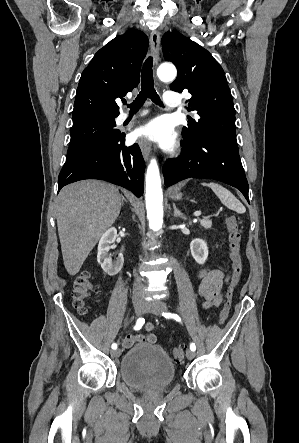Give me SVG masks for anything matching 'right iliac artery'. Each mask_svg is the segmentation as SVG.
Wrapping results in <instances>:
<instances>
[{
	"instance_id": "82829eb1",
	"label": "right iliac artery",
	"mask_w": 299,
	"mask_h": 443,
	"mask_svg": "<svg viewBox=\"0 0 299 443\" xmlns=\"http://www.w3.org/2000/svg\"><path fill=\"white\" fill-rule=\"evenodd\" d=\"M144 323H145V319L144 318H142V317L138 318L137 321H136V325L134 326V329L135 330H140L142 328V326L144 325ZM111 347H112L113 350H115V349H117V344L113 343Z\"/></svg>"
}]
</instances>
